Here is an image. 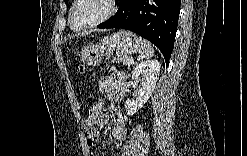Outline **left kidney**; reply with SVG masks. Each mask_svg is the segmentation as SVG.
<instances>
[{
    "instance_id": "left-kidney-1",
    "label": "left kidney",
    "mask_w": 247,
    "mask_h": 156,
    "mask_svg": "<svg viewBox=\"0 0 247 156\" xmlns=\"http://www.w3.org/2000/svg\"><path fill=\"white\" fill-rule=\"evenodd\" d=\"M161 63L158 60L142 61L134 68L131 78L134 84H139L134 99H127L125 109L127 115H134L148 101L160 73Z\"/></svg>"
}]
</instances>
